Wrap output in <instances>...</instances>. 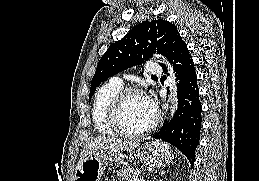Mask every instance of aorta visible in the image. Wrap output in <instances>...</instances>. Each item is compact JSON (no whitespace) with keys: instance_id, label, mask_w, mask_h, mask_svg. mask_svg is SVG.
I'll use <instances>...</instances> for the list:
<instances>
[{"instance_id":"1","label":"aorta","mask_w":259,"mask_h":181,"mask_svg":"<svg viewBox=\"0 0 259 181\" xmlns=\"http://www.w3.org/2000/svg\"><path fill=\"white\" fill-rule=\"evenodd\" d=\"M173 86H175V82L174 81H173ZM176 106H177V96H176V91L174 89V92H173L172 97H171V107H170V109H171V116L175 112Z\"/></svg>"}]
</instances>
